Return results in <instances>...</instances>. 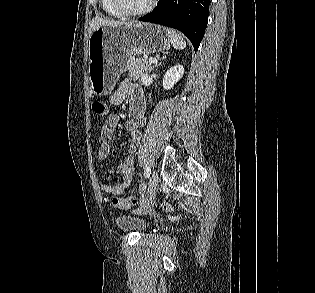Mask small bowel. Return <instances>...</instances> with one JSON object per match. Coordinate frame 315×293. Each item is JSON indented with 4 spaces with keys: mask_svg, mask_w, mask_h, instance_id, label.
Segmentation results:
<instances>
[{
    "mask_svg": "<svg viewBox=\"0 0 315 293\" xmlns=\"http://www.w3.org/2000/svg\"><path fill=\"white\" fill-rule=\"evenodd\" d=\"M110 103L119 105L129 101V116L125 122V130L130 133L127 143V155L118 166L119 181L115 184H100V189L106 195H120L130 185L134 174V154L140 140V129L145 124V100L139 87L130 80H123L109 97ZM119 122V116L109 114L100 132L99 160H105L111 150L114 132Z\"/></svg>",
    "mask_w": 315,
    "mask_h": 293,
    "instance_id": "c3829d8e",
    "label": "small bowel"
}]
</instances>
